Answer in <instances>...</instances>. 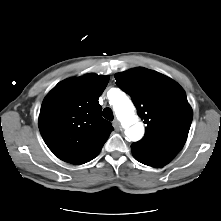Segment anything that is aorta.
<instances>
[{
	"instance_id": "762f6f07",
	"label": "aorta",
	"mask_w": 221,
	"mask_h": 221,
	"mask_svg": "<svg viewBox=\"0 0 221 221\" xmlns=\"http://www.w3.org/2000/svg\"><path fill=\"white\" fill-rule=\"evenodd\" d=\"M113 108L117 119L125 128V135L130 141H138L144 135V126L138 122L135 115V107L125 94H118L113 102Z\"/></svg>"
}]
</instances>
